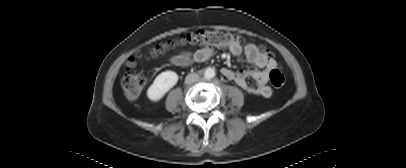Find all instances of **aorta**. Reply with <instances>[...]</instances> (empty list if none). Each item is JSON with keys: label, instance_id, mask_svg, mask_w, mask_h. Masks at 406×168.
<instances>
[{"label": "aorta", "instance_id": "1", "mask_svg": "<svg viewBox=\"0 0 406 168\" xmlns=\"http://www.w3.org/2000/svg\"><path fill=\"white\" fill-rule=\"evenodd\" d=\"M214 76H215V71H214V69H213V68H210V67L206 68V70H205V72H204V77H205L206 79H211V78H213Z\"/></svg>", "mask_w": 406, "mask_h": 168}]
</instances>
